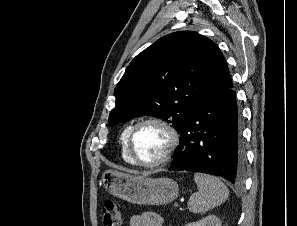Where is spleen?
<instances>
[{
	"label": "spleen",
	"mask_w": 297,
	"mask_h": 226,
	"mask_svg": "<svg viewBox=\"0 0 297 226\" xmlns=\"http://www.w3.org/2000/svg\"><path fill=\"white\" fill-rule=\"evenodd\" d=\"M194 181L198 192L192 194L188 201V208L193 213H205L221 205L229 196L228 188L217 177L195 173Z\"/></svg>",
	"instance_id": "3e777b00"
}]
</instances>
